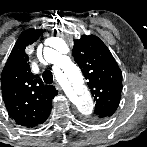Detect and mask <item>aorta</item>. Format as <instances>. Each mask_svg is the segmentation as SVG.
I'll return each mask as SVG.
<instances>
[{
    "instance_id": "1",
    "label": "aorta",
    "mask_w": 147,
    "mask_h": 147,
    "mask_svg": "<svg viewBox=\"0 0 147 147\" xmlns=\"http://www.w3.org/2000/svg\"><path fill=\"white\" fill-rule=\"evenodd\" d=\"M46 58L49 62H66L67 66L64 68L63 80L68 87L70 93L74 96L83 95L84 85L83 77L76 69V67L66 58L61 57L58 53L52 50L46 52Z\"/></svg>"
}]
</instances>
